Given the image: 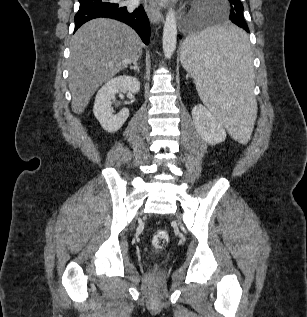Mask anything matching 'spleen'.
Segmentation results:
<instances>
[{
  "label": "spleen",
  "mask_w": 307,
  "mask_h": 317,
  "mask_svg": "<svg viewBox=\"0 0 307 317\" xmlns=\"http://www.w3.org/2000/svg\"><path fill=\"white\" fill-rule=\"evenodd\" d=\"M181 64L200 99L239 142L246 141L256 114L254 74L246 29L203 26L185 39Z\"/></svg>",
  "instance_id": "1"
}]
</instances>
